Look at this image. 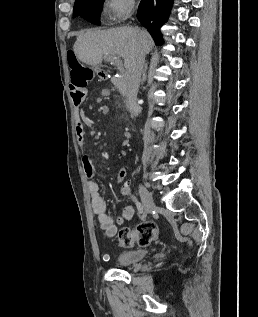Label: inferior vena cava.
Instances as JSON below:
<instances>
[{
    "mask_svg": "<svg viewBox=\"0 0 258 317\" xmlns=\"http://www.w3.org/2000/svg\"><path fill=\"white\" fill-rule=\"evenodd\" d=\"M135 4L132 2L129 6V12L133 10ZM136 32V30H135ZM136 36V50L135 54L129 64V68H127V78H126V88H125V100L127 104L128 110H130L131 114H135V106H136V98L137 92L139 88V82L141 78V72L143 70L144 64V48L140 42L139 34H135Z\"/></svg>",
    "mask_w": 258,
    "mask_h": 317,
    "instance_id": "obj_1",
    "label": "inferior vena cava"
}]
</instances>
